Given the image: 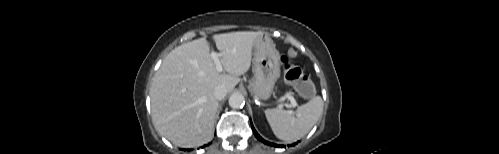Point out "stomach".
Listing matches in <instances>:
<instances>
[{
	"label": "stomach",
	"instance_id": "0dacf381",
	"mask_svg": "<svg viewBox=\"0 0 499 154\" xmlns=\"http://www.w3.org/2000/svg\"><path fill=\"white\" fill-rule=\"evenodd\" d=\"M253 47L254 77L250 82L249 91L257 99L267 100L280 77L279 54L273 40L267 34L258 36Z\"/></svg>",
	"mask_w": 499,
	"mask_h": 154
}]
</instances>
